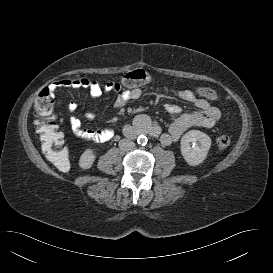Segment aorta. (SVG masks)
I'll use <instances>...</instances> for the list:
<instances>
[{
  "instance_id": "762f6f07",
  "label": "aorta",
  "mask_w": 273,
  "mask_h": 273,
  "mask_svg": "<svg viewBox=\"0 0 273 273\" xmlns=\"http://www.w3.org/2000/svg\"><path fill=\"white\" fill-rule=\"evenodd\" d=\"M137 142L138 144H141V145H146L147 143V138L143 135H140L137 139Z\"/></svg>"
}]
</instances>
